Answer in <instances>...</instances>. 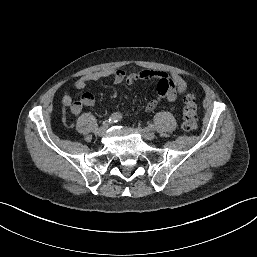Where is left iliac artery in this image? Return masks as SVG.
I'll list each match as a JSON object with an SVG mask.
<instances>
[{
  "instance_id": "obj_1",
  "label": "left iliac artery",
  "mask_w": 257,
  "mask_h": 257,
  "mask_svg": "<svg viewBox=\"0 0 257 257\" xmlns=\"http://www.w3.org/2000/svg\"><path fill=\"white\" fill-rule=\"evenodd\" d=\"M148 127L153 130L154 129V125L153 124H149Z\"/></svg>"
}]
</instances>
